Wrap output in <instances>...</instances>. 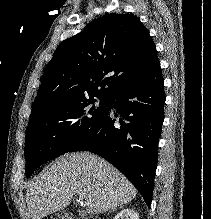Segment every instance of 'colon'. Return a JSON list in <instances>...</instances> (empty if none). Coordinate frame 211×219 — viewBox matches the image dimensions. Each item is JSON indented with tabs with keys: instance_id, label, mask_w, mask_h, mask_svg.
Instances as JSON below:
<instances>
[{
	"instance_id": "colon-1",
	"label": "colon",
	"mask_w": 211,
	"mask_h": 219,
	"mask_svg": "<svg viewBox=\"0 0 211 219\" xmlns=\"http://www.w3.org/2000/svg\"><path fill=\"white\" fill-rule=\"evenodd\" d=\"M48 219H75L74 217H72L71 215H68V214H58L57 216L55 217H50ZM81 219H99V218H96V217H90V218H81Z\"/></svg>"
}]
</instances>
